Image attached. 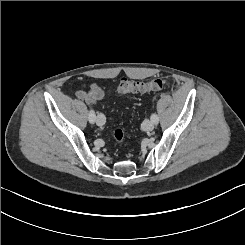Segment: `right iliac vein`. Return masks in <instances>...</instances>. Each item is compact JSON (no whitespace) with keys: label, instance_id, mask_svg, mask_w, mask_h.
<instances>
[{"label":"right iliac vein","instance_id":"63e3f726","mask_svg":"<svg viewBox=\"0 0 245 245\" xmlns=\"http://www.w3.org/2000/svg\"><path fill=\"white\" fill-rule=\"evenodd\" d=\"M104 123H105V117H104V115L101 114V113L98 114L97 120H96V124H97L98 126H103Z\"/></svg>","mask_w":245,"mask_h":245}]
</instances>
